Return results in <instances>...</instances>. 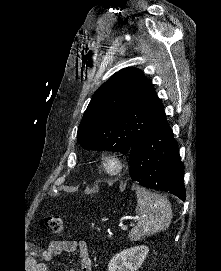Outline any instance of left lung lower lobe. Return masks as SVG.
I'll return each instance as SVG.
<instances>
[{
	"label": "left lung lower lobe",
	"instance_id": "0a47b994",
	"mask_svg": "<svg viewBox=\"0 0 221 271\" xmlns=\"http://www.w3.org/2000/svg\"><path fill=\"white\" fill-rule=\"evenodd\" d=\"M129 160L132 180L185 201L184 164L166 118L131 147Z\"/></svg>",
	"mask_w": 221,
	"mask_h": 271
}]
</instances>
